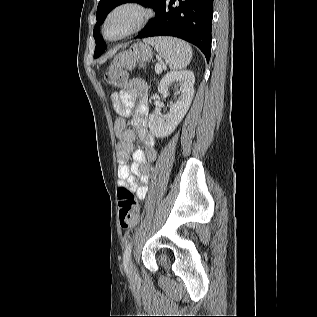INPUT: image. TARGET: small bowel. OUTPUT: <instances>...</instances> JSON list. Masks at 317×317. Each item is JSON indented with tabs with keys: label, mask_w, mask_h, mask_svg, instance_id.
I'll return each mask as SVG.
<instances>
[{
	"label": "small bowel",
	"mask_w": 317,
	"mask_h": 317,
	"mask_svg": "<svg viewBox=\"0 0 317 317\" xmlns=\"http://www.w3.org/2000/svg\"><path fill=\"white\" fill-rule=\"evenodd\" d=\"M146 91V83L134 78L127 80L120 91L111 95V103L119 115L114 122V132L118 138L116 151L119 185L135 192L139 200H144L148 195L151 163L157 157L155 137L147 125L149 108ZM137 100L139 101L135 105ZM129 117H132L133 129L127 127L126 119ZM136 137L143 141L146 151L134 148ZM130 156L132 163L128 164Z\"/></svg>",
	"instance_id": "c3829d8e"
}]
</instances>
